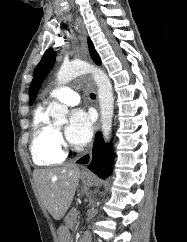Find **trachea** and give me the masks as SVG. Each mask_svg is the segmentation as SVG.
Masks as SVG:
<instances>
[{
  "label": "trachea",
  "mask_w": 187,
  "mask_h": 242,
  "mask_svg": "<svg viewBox=\"0 0 187 242\" xmlns=\"http://www.w3.org/2000/svg\"><path fill=\"white\" fill-rule=\"evenodd\" d=\"M90 97H91L92 99H95L96 96H95L94 93H91V94H90Z\"/></svg>",
  "instance_id": "obj_1"
}]
</instances>
